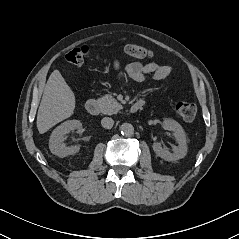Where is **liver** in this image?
<instances>
[{
    "mask_svg": "<svg viewBox=\"0 0 239 239\" xmlns=\"http://www.w3.org/2000/svg\"><path fill=\"white\" fill-rule=\"evenodd\" d=\"M75 109V95L61 73L54 70L45 86L37 114V129L47 132L57 123L69 118Z\"/></svg>",
    "mask_w": 239,
    "mask_h": 239,
    "instance_id": "liver-1",
    "label": "liver"
}]
</instances>
